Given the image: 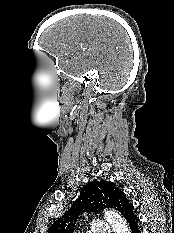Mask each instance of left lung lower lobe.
<instances>
[{"mask_svg":"<svg viewBox=\"0 0 174 233\" xmlns=\"http://www.w3.org/2000/svg\"><path fill=\"white\" fill-rule=\"evenodd\" d=\"M126 222L130 228L131 233H141L139 227V218L135 215L134 211L129 213L126 217Z\"/></svg>","mask_w":174,"mask_h":233,"instance_id":"0a47b994","label":"left lung lower lobe"}]
</instances>
